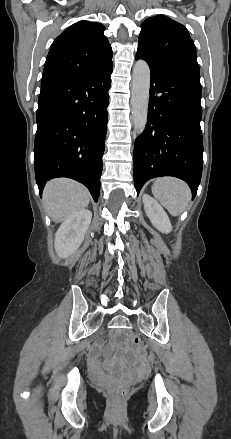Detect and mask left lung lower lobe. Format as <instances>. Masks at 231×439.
<instances>
[{"instance_id":"left-lung-lower-lobe-1","label":"left lung lower lobe","mask_w":231,"mask_h":439,"mask_svg":"<svg viewBox=\"0 0 231 439\" xmlns=\"http://www.w3.org/2000/svg\"><path fill=\"white\" fill-rule=\"evenodd\" d=\"M150 70L148 122L134 147L137 194L149 179L174 176L187 182L194 198L203 167L200 76L153 66Z\"/></svg>"}]
</instances>
